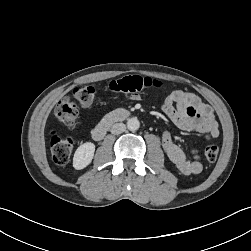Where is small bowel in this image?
I'll return each mask as SVG.
<instances>
[{
  "label": "small bowel",
  "instance_id": "c3829d8e",
  "mask_svg": "<svg viewBox=\"0 0 251 251\" xmlns=\"http://www.w3.org/2000/svg\"><path fill=\"white\" fill-rule=\"evenodd\" d=\"M132 99L137 100L139 97L133 96ZM160 107L171 122L183 131L203 133L208 139L219 135L213 109L195 94L182 90L172 91L163 98ZM162 146L169 161L182 174L196 175L202 171L200 152L197 148H192L191 157H188L174 143L168 131L162 134Z\"/></svg>",
  "mask_w": 251,
  "mask_h": 251
}]
</instances>
